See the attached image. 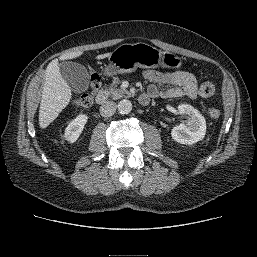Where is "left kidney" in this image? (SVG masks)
Segmentation results:
<instances>
[{
  "label": "left kidney",
  "instance_id": "left-kidney-1",
  "mask_svg": "<svg viewBox=\"0 0 257 257\" xmlns=\"http://www.w3.org/2000/svg\"><path fill=\"white\" fill-rule=\"evenodd\" d=\"M178 113L186 115L187 123L173 127L171 136L180 144L192 145L202 140L206 133V121L200 112L188 104H180Z\"/></svg>",
  "mask_w": 257,
  "mask_h": 257
}]
</instances>
